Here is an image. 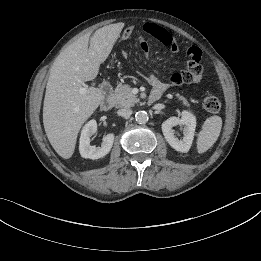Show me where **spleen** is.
I'll use <instances>...</instances> for the list:
<instances>
[{
	"label": "spleen",
	"instance_id": "1",
	"mask_svg": "<svg viewBox=\"0 0 261 261\" xmlns=\"http://www.w3.org/2000/svg\"><path fill=\"white\" fill-rule=\"evenodd\" d=\"M222 128V119L219 116L207 118L197 138V151L204 153L217 141Z\"/></svg>",
	"mask_w": 261,
	"mask_h": 261
}]
</instances>
